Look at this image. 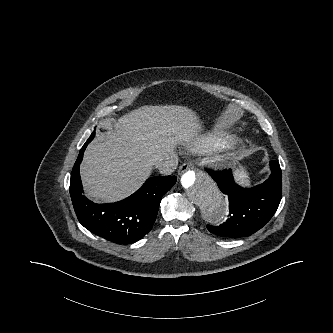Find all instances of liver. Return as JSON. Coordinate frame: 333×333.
<instances>
[{"instance_id": "obj_1", "label": "liver", "mask_w": 333, "mask_h": 333, "mask_svg": "<svg viewBox=\"0 0 333 333\" xmlns=\"http://www.w3.org/2000/svg\"><path fill=\"white\" fill-rule=\"evenodd\" d=\"M202 130L195 112L184 106H143L113 119L87 147L80 173L87 197L116 202L136 190L158 161L172 157V145Z\"/></svg>"}]
</instances>
